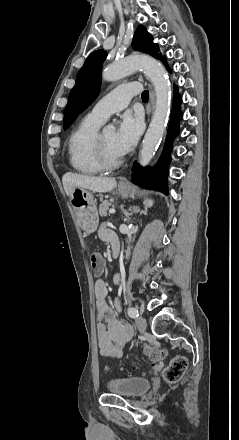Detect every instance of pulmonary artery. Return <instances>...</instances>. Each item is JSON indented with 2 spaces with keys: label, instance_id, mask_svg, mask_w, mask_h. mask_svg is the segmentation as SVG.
I'll use <instances>...</instances> for the list:
<instances>
[{
  "label": "pulmonary artery",
  "instance_id": "1",
  "mask_svg": "<svg viewBox=\"0 0 239 440\" xmlns=\"http://www.w3.org/2000/svg\"><path fill=\"white\" fill-rule=\"evenodd\" d=\"M142 90L141 84L137 82L127 83L110 91L101 97L91 108L88 116L102 123L113 112L124 109L128 106L130 99Z\"/></svg>",
  "mask_w": 239,
  "mask_h": 440
}]
</instances>
